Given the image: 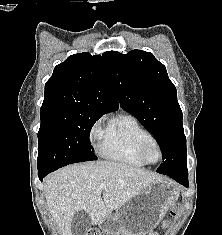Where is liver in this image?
<instances>
[{
	"label": "liver",
	"mask_w": 222,
	"mask_h": 235,
	"mask_svg": "<svg viewBox=\"0 0 222 235\" xmlns=\"http://www.w3.org/2000/svg\"><path fill=\"white\" fill-rule=\"evenodd\" d=\"M164 178L120 162L74 164L49 175L44 184L48 210L62 235H73L72 219L85 211L91 225L100 222L143 189ZM108 186L101 189L100 184Z\"/></svg>",
	"instance_id": "liver-1"
}]
</instances>
